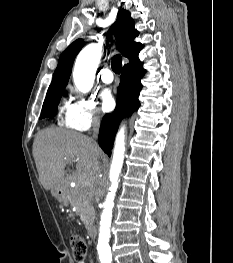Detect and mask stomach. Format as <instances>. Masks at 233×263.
Listing matches in <instances>:
<instances>
[{"instance_id":"0dacf381","label":"stomach","mask_w":233,"mask_h":263,"mask_svg":"<svg viewBox=\"0 0 233 263\" xmlns=\"http://www.w3.org/2000/svg\"><path fill=\"white\" fill-rule=\"evenodd\" d=\"M52 195L61 202H66V180L64 178L59 179L53 189L51 190Z\"/></svg>"}]
</instances>
